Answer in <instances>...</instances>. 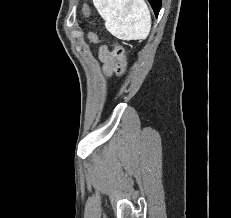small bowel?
Returning a JSON list of instances; mask_svg holds the SVG:
<instances>
[{
  "label": "small bowel",
  "mask_w": 231,
  "mask_h": 218,
  "mask_svg": "<svg viewBox=\"0 0 231 218\" xmlns=\"http://www.w3.org/2000/svg\"><path fill=\"white\" fill-rule=\"evenodd\" d=\"M90 39L93 42H97V37L94 34H90ZM99 57L104 65V70L107 74H111L114 68V58L110 51L105 46H101L99 49Z\"/></svg>",
  "instance_id": "1"
}]
</instances>
